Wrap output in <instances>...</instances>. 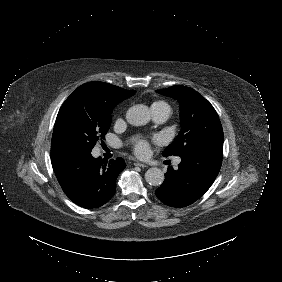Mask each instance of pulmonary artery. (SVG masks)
Instances as JSON below:
<instances>
[{
  "label": "pulmonary artery",
  "mask_w": 282,
  "mask_h": 282,
  "mask_svg": "<svg viewBox=\"0 0 282 282\" xmlns=\"http://www.w3.org/2000/svg\"><path fill=\"white\" fill-rule=\"evenodd\" d=\"M171 114V108L168 105H163L161 107L152 109V115L157 123L165 122ZM180 162V158H177L175 161V166Z\"/></svg>",
  "instance_id": "obj_1"
}]
</instances>
